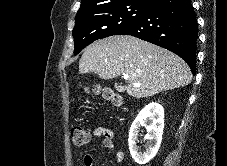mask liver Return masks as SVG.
<instances>
[{"mask_svg": "<svg viewBox=\"0 0 227 166\" xmlns=\"http://www.w3.org/2000/svg\"><path fill=\"white\" fill-rule=\"evenodd\" d=\"M79 72H94L105 80L128 75L126 90L135 98L183 87L192 80L189 66L178 55L128 35L110 36L86 47Z\"/></svg>", "mask_w": 227, "mask_h": 166, "instance_id": "liver-1", "label": "liver"}]
</instances>
